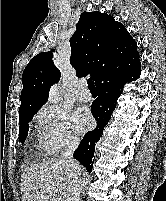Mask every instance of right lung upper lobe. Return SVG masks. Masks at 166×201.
Listing matches in <instances>:
<instances>
[{
  "mask_svg": "<svg viewBox=\"0 0 166 201\" xmlns=\"http://www.w3.org/2000/svg\"><path fill=\"white\" fill-rule=\"evenodd\" d=\"M70 39V62L77 76L90 74L95 84L113 69L139 59L137 43L126 28L111 15L83 12ZM51 51L34 56L23 71L19 117L37 112L47 101L49 89L60 79Z\"/></svg>",
  "mask_w": 166,
  "mask_h": 201,
  "instance_id": "1",
  "label": "right lung upper lobe"
}]
</instances>
